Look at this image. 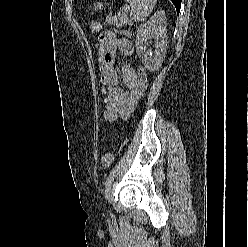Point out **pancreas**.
Returning a JSON list of instances; mask_svg holds the SVG:
<instances>
[{
  "label": "pancreas",
  "instance_id": "1",
  "mask_svg": "<svg viewBox=\"0 0 248 247\" xmlns=\"http://www.w3.org/2000/svg\"><path fill=\"white\" fill-rule=\"evenodd\" d=\"M130 23L131 22L128 20V18L126 16H121V17L115 16L110 21V24H112L116 27H121L123 25L130 24Z\"/></svg>",
  "mask_w": 248,
  "mask_h": 247
}]
</instances>
